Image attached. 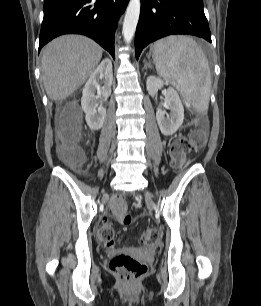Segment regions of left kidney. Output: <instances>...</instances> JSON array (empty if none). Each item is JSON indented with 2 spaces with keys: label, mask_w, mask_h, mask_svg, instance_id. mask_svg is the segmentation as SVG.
I'll list each match as a JSON object with an SVG mask.
<instances>
[{
  "label": "left kidney",
  "mask_w": 261,
  "mask_h": 306,
  "mask_svg": "<svg viewBox=\"0 0 261 306\" xmlns=\"http://www.w3.org/2000/svg\"><path fill=\"white\" fill-rule=\"evenodd\" d=\"M146 86L149 94L154 96L164 86V82L155 76H149ZM163 93L165 96V107L170 110V114L166 116L165 110L158 108L156 119L161 133L165 136H170L181 127L184 120V108L174 88L169 87Z\"/></svg>",
  "instance_id": "5707ae66"
}]
</instances>
